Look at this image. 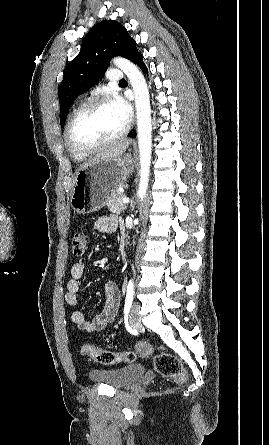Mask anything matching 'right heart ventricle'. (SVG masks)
I'll use <instances>...</instances> for the list:
<instances>
[{
    "label": "right heart ventricle",
    "mask_w": 269,
    "mask_h": 445,
    "mask_svg": "<svg viewBox=\"0 0 269 445\" xmlns=\"http://www.w3.org/2000/svg\"><path fill=\"white\" fill-rule=\"evenodd\" d=\"M70 153H71L72 157H73L75 160H77V161H82V160H84L85 157H86V156H81V155L74 154V153H72L71 151H70Z\"/></svg>",
    "instance_id": "1"
}]
</instances>
